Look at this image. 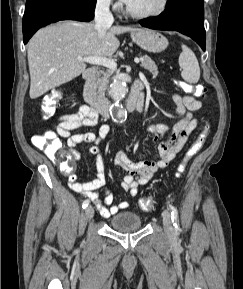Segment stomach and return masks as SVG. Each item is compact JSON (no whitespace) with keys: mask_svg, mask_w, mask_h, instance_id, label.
<instances>
[{"mask_svg":"<svg viewBox=\"0 0 243 289\" xmlns=\"http://www.w3.org/2000/svg\"><path fill=\"white\" fill-rule=\"evenodd\" d=\"M131 37L138 46L152 53L161 52L168 46V40L165 36L149 29L132 31Z\"/></svg>","mask_w":243,"mask_h":289,"instance_id":"0dacf381","label":"stomach"}]
</instances>
